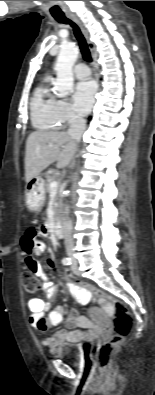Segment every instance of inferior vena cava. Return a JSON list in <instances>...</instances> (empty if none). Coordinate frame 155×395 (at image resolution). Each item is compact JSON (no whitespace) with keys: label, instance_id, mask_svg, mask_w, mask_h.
Returning a JSON list of instances; mask_svg holds the SVG:
<instances>
[{"label":"inferior vena cava","instance_id":"602c4592","mask_svg":"<svg viewBox=\"0 0 155 395\" xmlns=\"http://www.w3.org/2000/svg\"><path fill=\"white\" fill-rule=\"evenodd\" d=\"M85 119L79 115H74L70 120V127L68 129L69 136L78 143L81 139L83 132L85 131L86 124ZM64 234H65V247L67 253L72 255L74 249V241L72 238V221L66 219L64 223Z\"/></svg>","mask_w":155,"mask_h":395}]
</instances>
